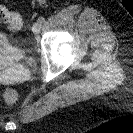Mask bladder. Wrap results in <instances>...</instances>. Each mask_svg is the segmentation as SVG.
Instances as JSON below:
<instances>
[{
    "label": "bladder",
    "instance_id": "1",
    "mask_svg": "<svg viewBox=\"0 0 133 133\" xmlns=\"http://www.w3.org/2000/svg\"><path fill=\"white\" fill-rule=\"evenodd\" d=\"M27 57V51L23 46L13 42L5 32H0V63L18 62Z\"/></svg>",
    "mask_w": 133,
    "mask_h": 133
}]
</instances>
